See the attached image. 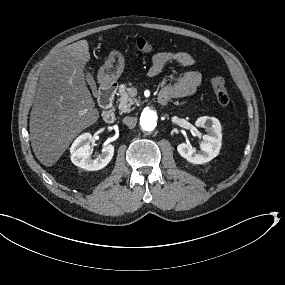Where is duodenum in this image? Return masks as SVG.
<instances>
[{
  "instance_id": "obj_1",
  "label": "duodenum",
  "mask_w": 285,
  "mask_h": 285,
  "mask_svg": "<svg viewBox=\"0 0 285 285\" xmlns=\"http://www.w3.org/2000/svg\"><path fill=\"white\" fill-rule=\"evenodd\" d=\"M117 90V84L106 82L101 86L99 92V103L103 108L102 118L106 123H112L115 120V110L113 100Z\"/></svg>"
}]
</instances>
